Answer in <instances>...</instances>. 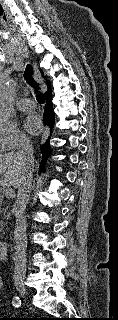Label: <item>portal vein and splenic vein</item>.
Wrapping results in <instances>:
<instances>
[{
    "mask_svg": "<svg viewBox=\"0 0 118 320\" xmlns=\"http://www.w3.org/2000/svg\"><path fill=\"white\" fill-rule=\"evenodd\" d=\"M5 196L7 198H13L14 197V191L12 188H6L4 192Z\"/></svg>",
    "mask_w": 118,
    "mask_h": 320,
    "instance_id": "portal-vein-and-splenic-vein-1",
    "label": "portal vein and splenic vein"
}]
</instances>
